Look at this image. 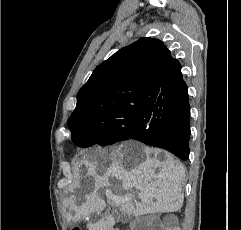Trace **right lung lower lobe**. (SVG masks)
I'll return each instance as SVG.
<instances>
[{
	"label": "right lung lower lobe",
	"mask_w": 241,
	"mask_h": 230,
	"mask_svg": "<svg viewBox=\"0 0 241 230\" xmlns=\"http://www.w3.org/2000/svg\"><path fill=\"white\" fill-rule=\"evenodd\" d=\"M188 87L183 80L181 65L173 62L162 79L155 100L146 105L148 127L130 134L129 139L166 149L182 160L189 156L190 105ZM128 140V139H127Z\"/></svg>",
	"instance_id": "right-lung-lower-lobe-1"
}]
</instances>
